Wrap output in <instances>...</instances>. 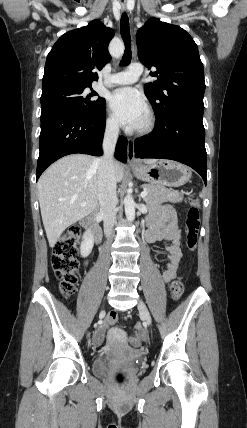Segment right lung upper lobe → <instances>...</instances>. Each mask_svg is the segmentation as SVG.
<instances>
[{
	"label": "right lung upper lobe",
	"instance_id": "obj_1",
	"mask_svg": "<svg viewBox=\"0 0 247 428\" xmlns=\"http://www.w3.org/2000/svg\"><path fill=\"white\" fill-rule=\"evenodd\" d=\"M114 32L98 20L62 35L46 60L42 92L62 86H91L111 57L108 45Z\"/></svg>",
	"mask_w": 247,
	"mask_h": 428
}]
</instances>
